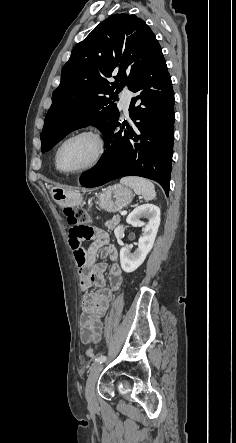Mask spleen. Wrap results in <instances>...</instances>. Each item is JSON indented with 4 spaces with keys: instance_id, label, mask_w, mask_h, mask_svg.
<instances>
[{
    "instance_id": "3e777b00",
    "label": "spleen",
    "mask_w": 236,
    "mask_h": 443,
    "mask_svg": "<svg viewBox=\"0 0 236 443\" xmlns=\"http://www.w3.org/2000/svg\"><path fill=\"white\" fill-rule=\"evenodd\" d=\"M120 183L132 188L136 194L142 196L146 201L155 198L154 184L148 179L129 176L121 178Z\"/></svg>"
}]
</instances>
